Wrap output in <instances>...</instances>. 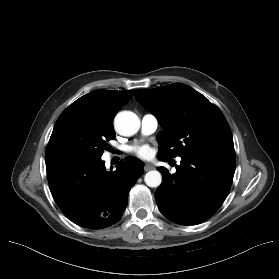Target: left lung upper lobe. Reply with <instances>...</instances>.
Instances as JSON below:
<instances>
[{"instance_id":"1","label":"left lung upper lobe","mask_w":279,"mask_h":279,"mask_svg":"<svg viewBox=\"0 0 279 279\" xmlns=\"http://www.w3.org/2000/svg\"><path fill=\"white\" fill-rule=\"evenodd\" d=\"M135 96L164 128L157 136L158 158L167 160L202 152L235 154L231 129L223 113L190 86L173 83L136 89Z\"/></svg>"}]
</instances>
